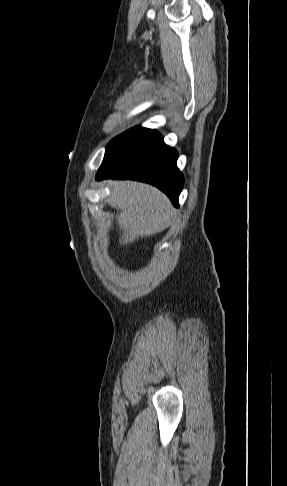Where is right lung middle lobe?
<instances>
[{"mask_svg": "<svg viewBox=\"0 0 287 486\" xmlns=\"http://www.w3.org/2000/svg\"><path fill=\"white\" fill-rule=\"evenodd\" d=\"M151 129L135 127L114 138L107 146L104 159L147 134Z\"/></svg>", "mask_w": 287, "mask_h": 486, "instance_id": "1", "label": "right lung middle lobe"}]
</instances>
